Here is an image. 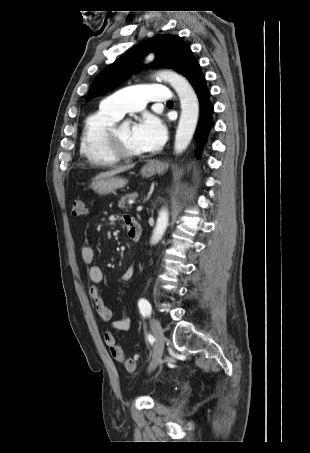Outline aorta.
I'll return each instance as SVG.
<instances>
[{"mask_svg": "<svg viewBox=\"0 0 310 453\" xmlns=\"http://www.w3.org/2000/svg\"><path fill=\"white\" fill-rule=\"evenodd\" d=\"M158 77L170 83L176 91L180 104L181 115L175 136L174 150L177 154L182 153L190 144L196 129L199 116V102L197 95L190 83L175 71L164 70L157 74ZM169 221L166 209L159 212L156 226L151 238L152 243H157L164 235Z\"/></svg>", "mask_w": 310, "mask_h": 453, "instance_id": "obj_1", "label": "aorta"}]
</instances>
